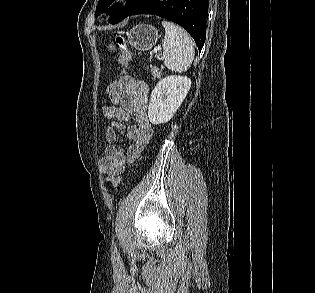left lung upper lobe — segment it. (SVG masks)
<instances>
[{"label": "left lung upper lobe", "mask_w": 315, "mask_h": 293, "mask_svg": "<svg viewBox=\"0 0 315 293\" xmlns=\"http://www.w3.org/2000/svg\"><path fill=\"white\" fill-rule=\"evenodd\" d=\"M142 0H127V5L124 8L115 7L107 10V6L113 2V0H99L98 7L96 8V14L107 12L111 15L110 23L116 24L126 18L141 2Z\"/></svg>", "instance_id": "5c2ea615"}]
</instances>
